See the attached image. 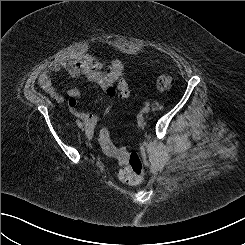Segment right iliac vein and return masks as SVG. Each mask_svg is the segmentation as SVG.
Instances as JSON below:
<instances>
[{
	"label": "right iliac vein",
	"mask_w": 245,
	"mask_h": 245,
	"mask_svg": "<svg viewBox=\"0 0 245 245\" xmlns=\"http://www.w3.org/2000/svg\"><path fill=\"white\" fill-rule=\"evenodd\" d=\"M79 128H83V124L82 123L79 125Z\"/></svg>",
	"instance_id": "1"
}]
</instances>
